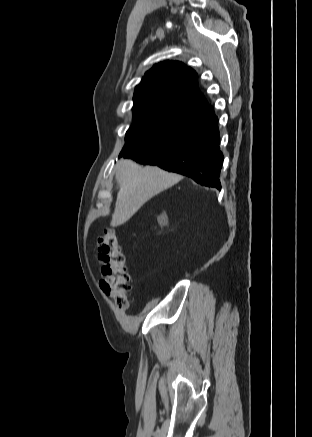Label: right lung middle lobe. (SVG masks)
Segmentation results:
<instances>
[{
  "mask_svg": "<svg viewBox=\"0 0 312 437\" xmlns=\"http://www.w3.org/2000/svg\"><path fill=\"white\" fill-rule=\"evenodd\" d=\"M200 114L167 105L133 108V124L126 133L120 157L156 146L188 128Z\"/></svg>",
  "mask_w": 312,
  "mask_h": 437,
  "instance_id": "right-lung-middle-lobe-1",
  "label": "right lung middle lobe"
}]
</instances>
